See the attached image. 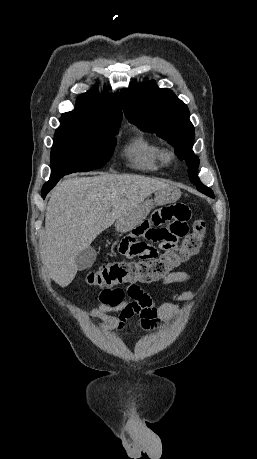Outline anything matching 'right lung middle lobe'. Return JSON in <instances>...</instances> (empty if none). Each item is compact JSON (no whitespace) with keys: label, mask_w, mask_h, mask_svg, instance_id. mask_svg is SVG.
<instances>
[{"label":"right lung middle lobe","mask_w":257,"mask_h":459,"mask_svg":"<svg viewBox=\"0 0 257 459\" xmlns=\"http://www.w3.org/2000/svg\"><path fill=\"white\" fill-rule=\"evenodd\" d=\"M51 151V177L98 169L108 162L118 128L100 129L60 121Z\"/></svg>","instance_id":"1"}]
</instances>
